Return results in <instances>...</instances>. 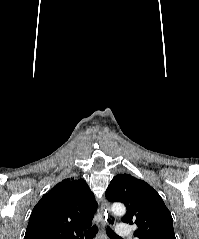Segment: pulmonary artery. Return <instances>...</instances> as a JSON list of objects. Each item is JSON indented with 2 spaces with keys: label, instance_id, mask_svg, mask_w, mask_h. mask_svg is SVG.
I'll use <instances>...</instances> for the list:
<instances>
[{
  "label": "pulmonary artery",
  "instance_id": "pulmonary-artery-1",
  "mask_svg": "<svg viewBox=\"0 0 199 239\" xmlns=\"http://www.w3.org/2000/svg\"><path fill=\"white\" fill-rule=\"evenodd\" d=\"M116 233L121 238H127L130 234V229H129L128 224L116 225Z\"/></svg>",
  "mask_w": 199,
  "mask_h": 239
}]
</instances>
